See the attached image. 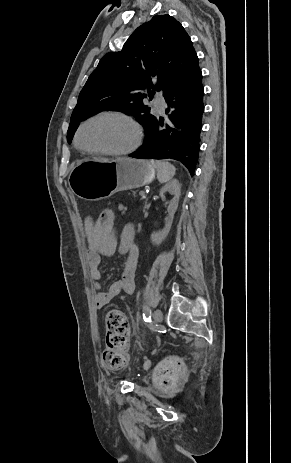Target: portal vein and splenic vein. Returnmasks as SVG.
I'll list each match as a JSON object with an SVG mask.
<instances>
[{
    "label": "portal vein and splenic vein",
    "instance_id": "1",
    "mask_svg": "<svg viewBox=\"0 0 291 463\" xmlns=\"http://www.w3.org/2000/svg\"><path fill=\"white\" fill-rule=\"evenodd\" d=\"M139 195L143 197L145 194H144L143 191H140V192H139Z\"/></svg>",
    "mask_w": 291,
    "mask_h": 463
}]
</instances>
